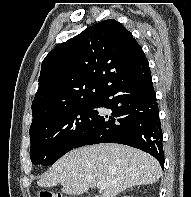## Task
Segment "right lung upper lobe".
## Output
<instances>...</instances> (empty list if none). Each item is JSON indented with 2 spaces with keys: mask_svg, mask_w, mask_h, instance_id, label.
I'll use <instances>...</instances> for the list:
<instances>
[{
  "mask_svg": "<svg viewBox=\"0 0 191 197\" xmlns=\"http://www.w3.org/2000/svg\"><path fill=\"white\" fill-rule=\"evenodd\" d=\"M148 61L122 24L104 20L57 45L42 62L31 128L73 106L98 101L105 90Z\"/></svg>",
  "mask_w": 191,
  "mask_h": 197,
  "instance_id": "1",
  "label": "right lung upper lobe"
}]
</instances>
